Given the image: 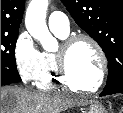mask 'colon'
<instances>
[{
	"instance_id": "colon-1",
	"label": "colon",
	"mask_w": 123,
	"mask_h": 113,
	"mask_svg": "<svg viewBox=\"0 0 123 113\" xmlns=\"http://www.w3.org/2000/svg\"><path fill=\"white\" fill-rule=\"evenodd\" d=\"M121 113H123V107H122V109H121Z\"/></svg>"
}]
</instances>
